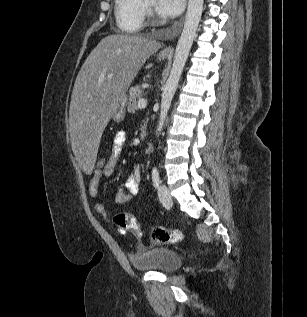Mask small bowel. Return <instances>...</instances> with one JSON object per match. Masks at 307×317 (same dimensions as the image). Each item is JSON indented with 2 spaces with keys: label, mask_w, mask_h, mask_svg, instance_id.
<instances>
[{
  "label": "small bowel",
  "mask_w": 307,
  "mask_h": 317,
  "mask_svg": "<svg viewBox=\"0 0 307 317\" xmlns=\"http://www.w3.org/2000/svg\"><path fill=\"white\" fill-rule=\"evenodd\" d=\"M127 136L124 131H118L114 138L112 144V152L106 165L102 169H95L92 172L91 179L89 182V194L91 197L96 198L99 191L100 180L103 177L111 176L117 166V163L120 159L121 153L126 145ZM141 168L135 166L126 179L124 187L120 188L117 191L116 199L120 204L129 203L133 196H136L140 192V181H141ZM95 211L102 215L107 221H109V214L106 210V207L101 202H96L94 205ZM120 232L125 233V230L121 229Z\"/></svg>",
  "instance_id": "small-bowel-1"
}]
</instances>
